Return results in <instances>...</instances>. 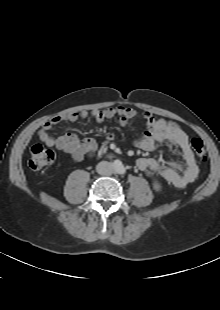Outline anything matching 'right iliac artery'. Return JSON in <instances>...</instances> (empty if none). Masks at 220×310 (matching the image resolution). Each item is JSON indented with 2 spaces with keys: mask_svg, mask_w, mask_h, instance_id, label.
<instances>
[{
  "mask_svg": "<svg viewBox=\"0 0 220 310\" xmlns=\"http://www.w3.org/2000/svg\"><path fill=\"white\" fill-rule=\"evenodd\" d=\"M115 167H119L121 165V162L119 160H116L114 162Z\"/></svg>",
  "mask_w": 220,
  "mask_h": 310,
  "instance_id": "82829eb1",
  "label": "right iliac artery"
}]
</instances>
